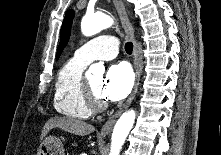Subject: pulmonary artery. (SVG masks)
<instances>
[{"mask_svg": "<svg viewBox=\"0 0 221 155\" xmlns=\"http://www.w3.org/2000/svg\"><path fill=\"white\" fill-rule=\"evenodd\" d=\"M118 54V41L110 35L98 36L75 51L74 57L84 63L93 60H110Z\"/></svg>", "mask_w": 221, "mask_h": 155, "instance_id": "1", "label": "pulmonary artery"}]
</instances>
